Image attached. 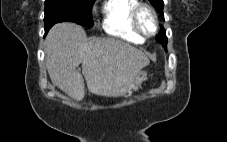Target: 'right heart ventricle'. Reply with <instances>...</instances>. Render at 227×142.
<instances>
[{
    "instance_id": "right-heart-ventricle-1",
    "label": "right heart ventricle",
    "mask_w": 227,
    "mask_h": 142,
    "mask_svg": "<svg viewBox=\"0 0 227 142\" xmlns=\"http://www.w3.org/2000/svg\"><path fill=\"white\" fill-rule=\"evenodd\" d=\"M138 0H105L101 5V26L110 36L130 43L141 44L144 38L136 32L132 23V12Z\"/></svg>"
}]
</instances>
